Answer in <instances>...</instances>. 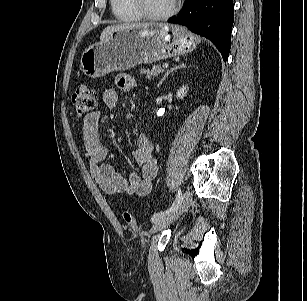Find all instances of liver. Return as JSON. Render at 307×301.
I'll use <instances>...</instances> for the list:
<instances>
[{"instance_id": "6515ba94", "label": "liver", "mask_w": 307, "mask_h": 301, "mask_svg": "<svg viewBox=\"0 0 307 301\" xmlns=\"http://www.w3.org/2000/svg\"><path fill=\"white\" fill-rule=\"evenodd\" d=\"M146 23H133V24H120V25H113L106 27L103 32L101 33L100 39L103 40L107 37L110 33L116 30L125 29V28H139L147 26Z\"/></svg>"}]
</instances>
